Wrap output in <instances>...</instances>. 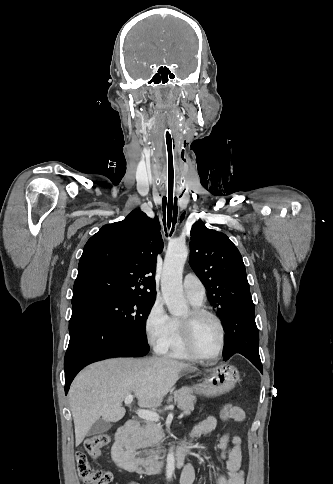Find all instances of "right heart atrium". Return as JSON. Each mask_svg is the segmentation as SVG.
<instances>
[{
  "label": "right heart atrium",
  "mask_w": 333,
  "mask_h": 484,
  "mask_svg": "<svg viewBox=\"0 0 333 484\" xmlns=\"http://www.w3.org/2000/svg\"><path fill=\"white\" fill-rule=\"evenodd\" d=\"M171 317L166 313L163 302L157 299L149 308L144 320V332L148 344L161 352L168 340Z\"/></svg>",
  "instance_id": "right-heart-atrium-1"
}]
</instances>
